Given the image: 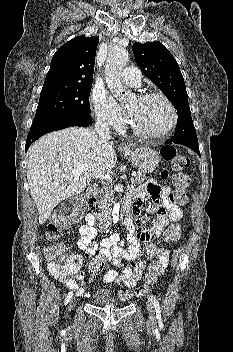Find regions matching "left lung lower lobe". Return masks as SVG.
Segmentation results:
<instances>
[{"mask_svg": "<svg viewBox=\"0 0 233 352\" xmlns=\"http://www.w3.org/2000/svg\"><path fill=\"white\" fill-rule=\"evenodd\" d=\"M165 143H177V144L187 146L200 156V151H199V146H198L197 140H184V141H180V142H175L172 139H170V140H167Z\"/></svg>", "mask_w": 233, "mask_h": 352, "instance_id": "1", "label": "left lung lower lobe"}]
</instances>
